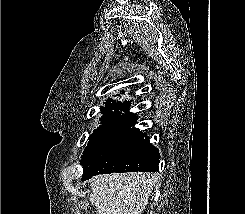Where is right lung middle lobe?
I'll return each instance as SVG.
<instances>
[{
  "label": "right lung middle lobe",
  "mask_w": 245,
  "mask_h": 214,
  "mask_svg": "<svg viewBox=\"0 0 245 214\" xmlns=\"http://www.w3.org/2000/svg\"><path fill=\"white\" fill-rule=\"evenodd\" d=\"M125 129L106 135H91L81 159L83 177L116 169L119 166L117 147L127 138ZM84 180V179H83Z\"/></svg>",
  "instance_id": "dd1d6c3e"
}]
</instances>
